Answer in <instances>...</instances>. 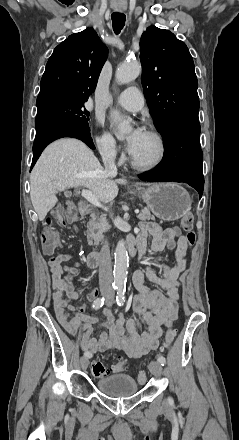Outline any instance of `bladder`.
Returning <instances> with one entry per match:
<instances>
[{"mask_svg": "<svg viewBox=\"0 0 239 440\" xmlns=\"http://www.w3.org/2000/svg\"><path fill=\"white\" fill-rule=\"evenodd\" d=\"M100 392L111 397H126L138 392L137 381L129 374L118 373L101 377L97 381Z\"/></svg>", "mask_w": 239, "mask_h": 440, "instance_id": "bladder-1", "label": "bladder"}]
</instances>
